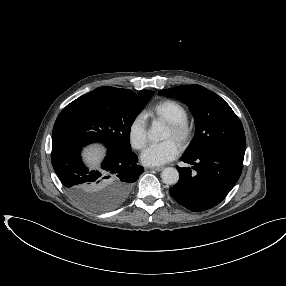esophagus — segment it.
Wrapping results in <instances>:
<instances>
[{"mask_svg":"<svg viewBox=\"0 0 286 286\" xmlns=\"http://www.w3.org/2000/svg\"><path fill=\"white\" fill-rule=\"evenodd\" d=\"M149 170H155V171H162L164 169V167H149Z\"/></svg>","mask_w":286,"mask_h":286,"instance_id":"1","label":"esophagus"}]
</instances>
